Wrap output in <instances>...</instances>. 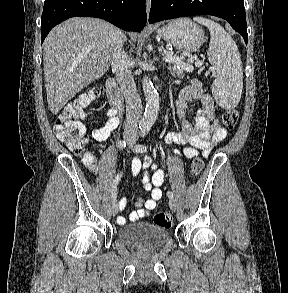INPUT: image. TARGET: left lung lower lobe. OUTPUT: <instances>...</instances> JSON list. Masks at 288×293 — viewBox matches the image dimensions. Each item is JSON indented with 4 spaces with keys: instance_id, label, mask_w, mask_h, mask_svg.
<instances>
[{
    "instance_id": "left-lung-lower-lobe-1",
    "label": "left lung lower lobe",
    "mask_w": 288,
    "mask_h": 293,
    "mask_svg": "<svg viewBox=\"0 0 288 293\" xmlns=\"http://www.w3.org/2000/svg\"><path fill=\"white\" fill-rule=\"evenodd\" d=\"M189 15H213L225 19L247 44L243 0H151L149 23Z\"/></svg>"
}]
</instances>
